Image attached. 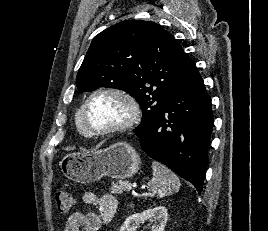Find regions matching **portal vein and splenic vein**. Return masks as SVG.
<instances>
[{"instance_id":"obj_1","label":"portal vein and splenic vein","mask_w":268,"mask_h":231,"mask_svg":"<svg viewBox=\"0 0 268 231\" xmlns=\"http://www.w3.org/2000/svg\"><path fill=\"white\" fill-rule=\"evenodd\" d=\"M132 187H133V185H131V184H126V189H127V190H131Z\"/></svg>"}]
</instances>
